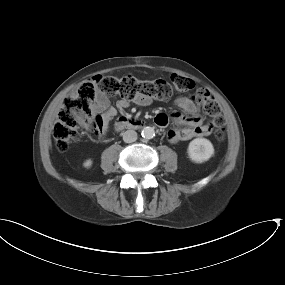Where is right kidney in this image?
I'll list each match as a JSON object with an SVG mask.
<instances>
[{
	"instance_id": "obj_1",
	"label": "right kidney",
	"mask_w": 285,
	"mask_h": 285,
	"mask_svg": "<svg viewBox=\"0 0 285 285\" xmlns=\"http://www.w3.org/2000/svg\"><path fill=\"white\" fill-rule=\"evenodd\" d=\"M91 165H92V160H91V159H88V160H86V161L83 163V166H84L85 168H90Z\"/></svg>"
}]
</instances>
